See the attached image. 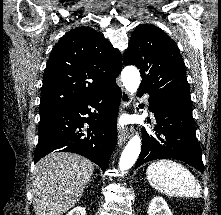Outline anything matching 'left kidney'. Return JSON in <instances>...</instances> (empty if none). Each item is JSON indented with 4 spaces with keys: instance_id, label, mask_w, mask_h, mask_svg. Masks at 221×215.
Wrapping results in <instances>:
<instances>
[{
    "instance_id": "left-kidney-1",
    "label": "left kidney",
    "mask_w": 221,
    "mask_h": 215,
    "mask_svg": "<svg viewBox=\"0 0 221 215\" xmlns=\"http://www.w3.org/2000/svg\"><path fill=\"white\" fill-rule=\"evenodd\" d=\"M148 215H173V214L169 209L166 201L160 196H155L149 204Z\"/></svg>"
}]
</instances>
